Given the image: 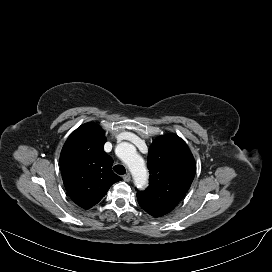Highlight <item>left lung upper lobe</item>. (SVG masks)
<instances>
[{
    "mask_svg": "<svg viewBox=\"0 0 272 272\" xmlns=\"http://www.w3.org/2000/svg\"><path fill=\"white\" fill-rule=\"evenodd\" d=\"M149 186L137 190L138 203L154 217L169 213L184 197L194 179L196 165L188 146L177 135L156 139L149 148Z\"/></svg>",
    "mask_w": 272,
    "mask_h": 272,
    "instance_id": "left-lung-upper-lobe-1",
    "label": "left lung upper lobe"
}]
</instances>
